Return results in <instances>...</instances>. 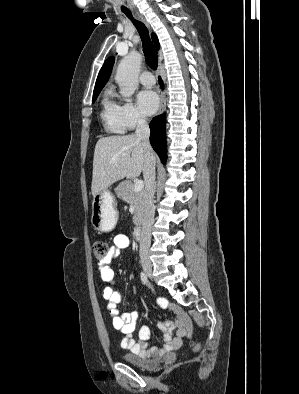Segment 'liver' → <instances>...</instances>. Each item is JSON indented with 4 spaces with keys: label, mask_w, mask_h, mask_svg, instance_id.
<instances>
[{
    "label": "liver",
    "mask_w": 299,
    "mask_h": 394,
    "mask_svg": "<svg viewBox=\"0 0 299 394\" xmlns=\"http://www.w3.org/2000/svg\"><path fill=\"white\" fill-rule=\"evenodd\" d=\"M155 158V154L152 151ZM146 151L135 135L100 138L95 146L92 195H98L113 183L127 177H138L144 170Z\"/></svg>",
    "instance_id": "1"
}]
</instances>
